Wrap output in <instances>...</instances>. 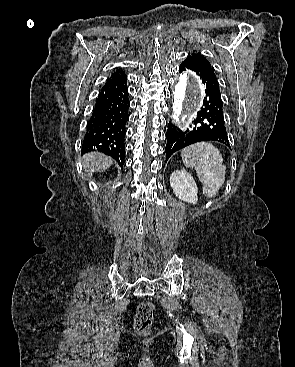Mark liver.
Here are the masks:
<instances>
[{
    "mask_svg": "<svg viewBox=\"0 0 295 367\" xmlns=\"http://www.w3.org/2000/svg\"><path fill=\"white\" fill-rule=\"evenodd\" d=\"M114 160L102 153L91 152L83 157V168L86 172H100L108 169Z\"/></svg>",
    "mask_w": 295,
    "mask_h": 367,
    "instance_id": "liver-1",
    "label": "liver"
}]
</instances>
